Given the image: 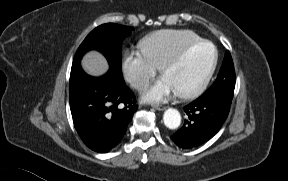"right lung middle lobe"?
Masks as SVG:
<instances>
[{"label":"right lung middle lobe","instance_id":"obj_1","mask_svg":"<svg viewBox=\"0 0 288 181\" xmlns=\"http://www.w3.org/2000/svg\"><path fill=\"white\" fill-rule=\"evenodd\" d=\"M133 27L107 23L96 27L79 46L72 63L71 73L81 68L82 56L89 50L101 51L107 58L110 66L109 72L118 78L122 77L121 70V43L130 35Z\"/></svg>","mask_w":288,"mask_h":181}]
</instances>
